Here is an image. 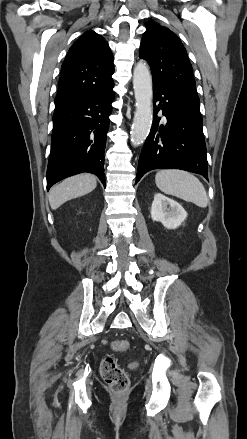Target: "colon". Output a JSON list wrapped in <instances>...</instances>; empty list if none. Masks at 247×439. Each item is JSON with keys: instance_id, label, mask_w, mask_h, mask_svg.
<instances>
[{"instance_id": "colon-1", "label": "colon", "mask_w": 247, "mask_h": 439, "mask_svg": "<svg viewBox=\"0 0 247 439\" xmlns=\"http://www.w3.org/2000/svg\"><path fill=\"white\" fill-rule=\"evenodd\" d=\"M112 348L117 352H125L129 348L127 340H115L111 342ZM101 375L109 388L115 393L123 392L128 386L129 380L126 372L117 364L112 356H107L101 363Z\"/></svg>"}]
</instances>
